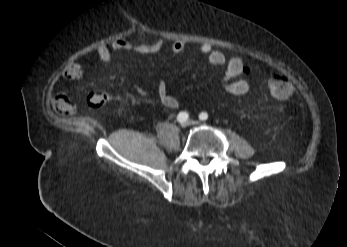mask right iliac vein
Listing matches in <instances>:
<instances>
[{"label":"right iliac vein","mask_w":347,"mask_h":247,"mask_svg":"<svg viewBox=\"0 0 347 247\" xmlns=\"http://www.w3.org/2000/svg\"><path fill=\"white\" fill-rule=\"evenodd\" d=\"M190 125L189 122H184L181 124L182 128H187Z\"/></svg>","instance_id":"63e3f726"}]
</instances>
